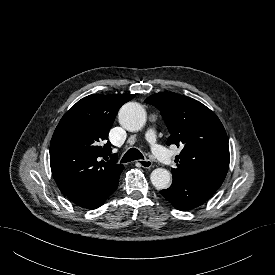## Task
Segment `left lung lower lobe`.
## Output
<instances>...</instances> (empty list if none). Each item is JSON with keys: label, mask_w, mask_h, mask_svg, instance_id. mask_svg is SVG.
Returning a JSON list of instances; mask_svg holds the SVG:
<instances>
[{"label": "left lung lower lobe", "mask_w": 275, "mask_h": 275, "mask_svg": "<svg viewBox=\"0 0 275 275\" xmlns=\"http://www.w3.org/2000/svg\"><path fill=\"white\" fill-rule=\"evenodd\" d=\"M217 190L201 182L173 177L171 187L160 193L178 210L185 211L205 203Z\"/></svg>", "instance_id": "0a47b994"}]
</instances>
